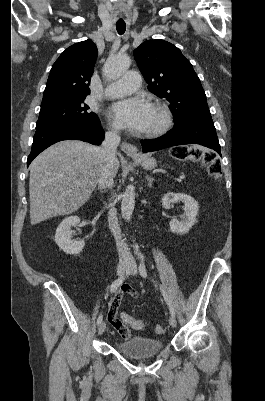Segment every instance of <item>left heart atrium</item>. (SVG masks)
<instances>
[{
  "mask_svg": "<svg viewBox=\"0 0 265 401\" xmlns=\"http://www.w3.org/2000/svg\"><path fill=\"white\" fill-rule=\"evenodd\" d=\"M151 107L143 98H126L112 103L109 107L108 115L119 126L127 127L131 130H143Z\"/></svg>",
  "mask_w": 265,
  "mask_h": 401,
  "instance_id": "left-heart-atrium-1",
  "label": "left heart atrium"
}]
</instances>
